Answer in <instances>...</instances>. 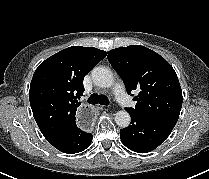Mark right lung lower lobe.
<instances>
[{
  "instance_id": "98d812e1",
  "label": "right lung lower lobe",
  "mask_w": 209,
  "mask_h": 179,
  "mask_svg": "<svg viewBox=\"0 0 209 179\" xmlns=\"http://www.w3.org/2000/svg\"><path fill=\"white\" fill-rule=\"evenodd\" d=\"M92 134L82 131L76 123L49 142L59 151L74 154L89 147L92 141Z\"/></svg>"
}]
</instances>
